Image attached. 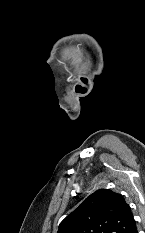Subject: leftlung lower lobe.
Segmentation results:
<instances>
[{"label":"left lung lower lobe","mask_w":145,"mask_h":233,"mask_svg":"<svg viewBox=\"0 0 145 233\" xmlns=\"http://www.w3.org/2000/svg\"><path fill=\"white\" fill-rule=\"evenodd\" d=\"M131 233H138L137 228L135 227Z\"/></svg>","instance_id":"0a47b994"}]
</instances>
